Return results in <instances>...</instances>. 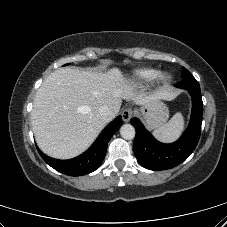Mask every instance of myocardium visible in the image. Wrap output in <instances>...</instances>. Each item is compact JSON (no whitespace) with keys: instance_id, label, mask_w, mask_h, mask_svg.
Here are the masks:
<instances>
[{"instance_id":"f54148a6","label":"myocardium","mask_w":227,"mask_h":227,"mask_svg":"<svg viewBox=\"0 0 227 227\" xmlns=\"http://www.w3.org/2000/svg\"><path fill=\"white\" fill-rule=\"evenodd\" d=\"M172 79V76L169 73H163L159 75L158 80L161 84L166 85L168 84Z\"/></svg>"}]
</instances>
